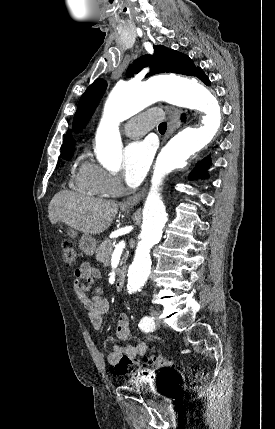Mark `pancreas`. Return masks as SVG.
Returning <instances> with one entry per match:
<instances>
[{"label":"pancreas","instance_id":"obj_1","mask_svg":"<svg viewBox=\"0 0 275 429\" xmlns=\"http://www.w3.org/2000/svg\"><path fill=\"white\" fill-rule=\"evenodd\" d=\"M113 252V243L111 240H104L96 249V259L105 266L110 265L111 255Z\"/></svg>","mask_w":275,"mask_h":429}]
</instances>
